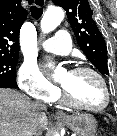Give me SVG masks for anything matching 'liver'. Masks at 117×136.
<instances>
[{"mask_svg": "<svg viewBox=\"0 0 117 136\" xmlns=\"http://www.w3.org/2000/svg\"><path fill=\"white\" fill-rule=\"evenodd\" d=\"M46 114L19 91L0 88V136H33L47 129Z\"/></svg>", "mask_w": 117, "mask_h": 136, "instance_id": "1", "label": "liver"}]
</instances>
